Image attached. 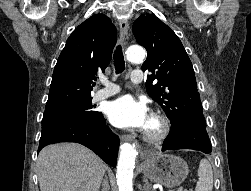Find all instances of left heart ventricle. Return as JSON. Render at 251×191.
<instances>
[{
  "mask_svg": "<svg viewBox=\"0 0 251 191\" xmlns=\"http://www.w3.org/2000/svg\"><path fill=\"white\" fill-rule=\"evenodd\" d=\"M150 126H151V124H150V123H148L147 127H150Z\"/></svg>",
  "mask_w": 251,
  "mask_h": 191,
  "instance_id": "1",
  "label": "left heart ventricle"
}]
</instances>
